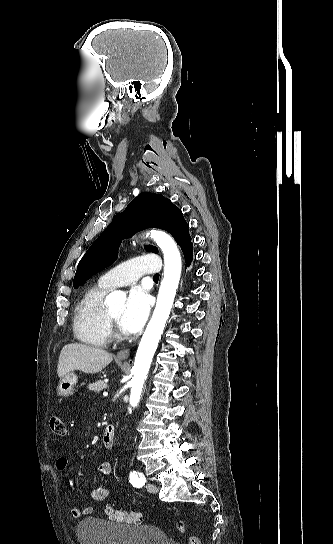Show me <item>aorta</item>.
Instances as JSON below:
<instances>
[{"label": "aorta", "mask_w": 333, "mask_h": 544, "mask_svg": "<svg viewBox=\"0 0 333 544\" xmlns=\"http://www.w3.org/2000/svg\"><path fill=\"white\" fill-rule=\"evenodd\" d=\"M147 235L154 239L164 254V277L160 285L156 307L142 336L132 367L133 378L129 398L131 407H136L139 403L144 381L170 315L182 267L177 245L169 235L161 231H153ZM125 300V293L114 291L106 297L105 303L108 307H114L118 303H124Z\"/></svg>", "instance_id": "1"}]
</instances>
